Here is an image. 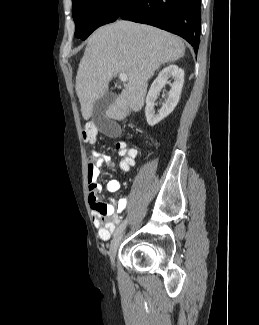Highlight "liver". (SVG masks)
I'll return each mask as SVG.
<instances>
[{"mask_svg": "<svg viewBox=\"0 0 259 325\" xmlns=\"http://www.w3.org/2000/svg\"><path fill=\"white\" fill-rule=\"evenodd\" d=\"M184 54L180 38L150 25L118 20L98 28L88 39L76 76L84 120L92 116L93 104L107 92L109 82L121 73L128 82L108 107L106 117L121 121L129 111L141 110L154 72Z\"/></svg>", "mask_w": 259, "mask_h": 325, "instance_id": "obj_1", "label": "liver"}]
</instances>
